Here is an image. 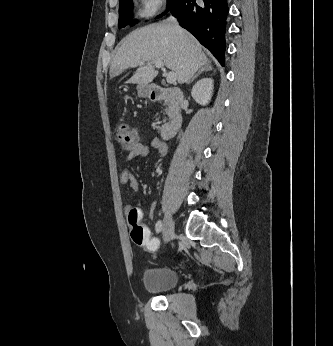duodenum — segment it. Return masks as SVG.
<instances>
[{
    "instance_id": "1",
    "label": "duodenum",
    "mask_w": 333,
    "mask_h": 346,
    "mask_svg": "<svg viewBox=\"0 0 333 346\" xmlns=\"http://www.w3.org/2000/svg\"><path fill=\"white\" fill-rule=\"evenodd\" d=\"M149 99L153 102L167 101L166 110L169 120L161 126L160 135L163 139L171 138L177 133L183 121V91L179 88H164L159 85H152L149 88Z\"/></svg>"
}]
</instances>
